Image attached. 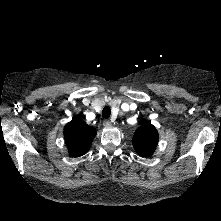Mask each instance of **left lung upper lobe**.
<instances>
[{
    "mask_svg": "<svg viewBox=\"0 0 221 221\" xmlns=\"http://www.w3.org/2000/svg\"><path fill=\"white\" fill-rule=\"evenodd\" d=\"M158 132L150 122H143L142 126L138 128L133 136V146L135 151L142 157L151 156L158 143Z\"/></svg>",
    "mask_w": 221,
    "mask_h": 221,
    "instance_id": "5c2ea615",
    "label": "left lung upper lobe"
}]
</instances>
